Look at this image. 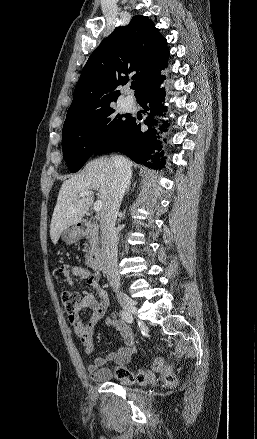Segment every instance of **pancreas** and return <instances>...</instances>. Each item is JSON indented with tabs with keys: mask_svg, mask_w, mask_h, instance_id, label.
Wrapping results in <instances>:
<instances>
[{
	"mask_svg": "<svg viewBox=\"0 0 257 439\" xmlns=\"http://www.w3.org/2000/svg\"><path fill=\"white\" fill-rule=\"evenodd\" d=\"M96 237H97V235L93 231L87 235L88 242L85 244V249H84V251L86 252L85 263L87 266H91L92 258L98 252L97 246H96Z\"/></svg>",
	"mask_w": 257,
	"mask_h": 439,
	"instance_id": "obj_1",
	"label": "pancreas"
}]
</instances>
